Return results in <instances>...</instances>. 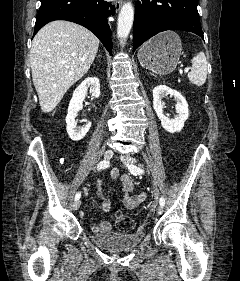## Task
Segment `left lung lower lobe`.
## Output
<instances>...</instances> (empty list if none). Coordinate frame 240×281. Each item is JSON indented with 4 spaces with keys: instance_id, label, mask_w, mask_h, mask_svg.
I'll use <instances>...</instances> for the list:
<instances>
[{
    "instance_id": "0a47b994",
    "label": "left lung lower lobe",
    "mask_w": 240,
    "mask_h": 281,
    "mask_svg": "<svg viewBox=\"0 0 240 281\" xmlns=\"http://www.w3.org/2000/svg\"><path fill=\"white\" fill-rule=\"evenodd\" d=\"M166 30L189 31L204 39L197 0H141L136 4L133 52L143 42Z\"/></svg>"
}]
</instances>
